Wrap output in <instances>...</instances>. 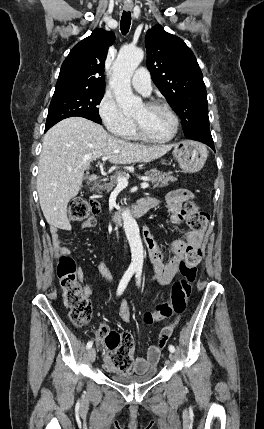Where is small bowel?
Returning a JSON list of instances; mask_svg holds the SVG:
<instances>
[{
  "mask_svg": "<svg viewBox=\"0 0 264 429\" xmlns=\"http://www.w3.org/2000/svg\"><path fill=\"white\" fill-rule=\"evenodd\" d=\"M194 199L193 194L188 190H174L166 196V203L172 209V215L170 218V224L173 227H180L185 218V209L188 207ZM140 202H144L150 205V209L156 208L161 204V201L156 198H146ZM96 226V219L90 217L85 220L81 228H93ZM202 233L195 232L191 230H186L184 236L181 239L175 240L168 246H160L155 241L151 231L148 228L143 230V239L148 248L149 259L153 270L155 272V277L157 281L163 285L169 284L174 276L178 272V266L184 255L187 253L190 247H199L202 242ZM52 241L54 248L59 253H68V249L63 245L59 230H52ZM100 271L107 277L110 278L109 273L103 266H99ZM78 279L83 283V290L86 295H90L91 286L86 281L85 276L81 270L78 271ZM120 317L124 322H129L131 319V310L126 301L122 300L120 306ZM177 320L168 327H165L161 333H168L167 340L170 338ZM133 337V335H131ZM163 347H160L159 344L151 345L146 353V356H139L134 358L132 363V372L142 374L147 372L150 368L154 367L160 358L161 350ZM105 370L108 371L106 364V356L104 358L103 364Z\"/></svg>",
  "mask_w": 264,
  "mask_h": 429,
  "instance_id": "c3829d8e",
  "label": "small bowel"
}]
</instances>
